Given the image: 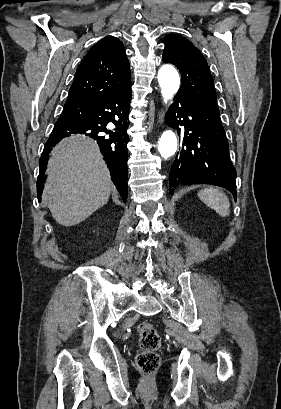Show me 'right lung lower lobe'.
Masks as SVG:
<instances>
[{
  "instance_id": "right-lung-lower-lobe-1",
  "label": "right lung lower lobe",
  "mask_w": 281,
  "mask_h": 409,
  "mask_svg": "<svg viewBox=\"0 0 281 409\" xmlns=\"http://www.w3.org/2000/svg\"><path fill=\"white\" fill-rule=\"evenodd\" d=\"M131 100V85L123 90L91 102L66 103L61 117L75 121L57 122L45 144L39 160L40 173L37 180L38 198L41 200L42 182L46 170V156L52 147L70 134L86 133L97 141L104 155L112 180L124 202L127 200V143L129 136L128 112ZM115 127L110 128V124Z\"/></svg>"
}]
</instances>
